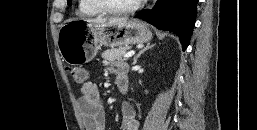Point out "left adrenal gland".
I'll return each mask as SVG.
<instances>
[{"mask_svg":"<svg viewBox=\"0 0 257 130\" xmlns=\"http://www.w3.org/2000/svg\"><path fill=\"white\" fill-rule=\"evenodd\" d=\"M152 47H154V44L151 45L150 43H148V44L146 45V47H144L142 50H140V52L134 57L133 65L136 64L138 58H139L145 51L151 49Z\"/></svg>","mask_w":257,"mask_h":130,"instance_id":"left-adrenal-gland-1","label":"left adrenal gland"}]
</instances>
